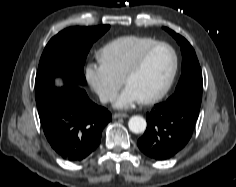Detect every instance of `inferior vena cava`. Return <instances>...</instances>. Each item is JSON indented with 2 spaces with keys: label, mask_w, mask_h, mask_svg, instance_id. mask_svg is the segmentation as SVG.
<instances>
[{
  "label": "inferior vena cava",
  "mask_w": 236,
  "mask_h": 187,
  "mask_svg": "<svg viewBox=\"0 0 236 187\" xmlns=\"http://www.w3.org/2000/svg\"><path fill=\"white\" fill-rule=\"evenodd\" d=\"M115 99H116V96L113 95V94H104V95L100 96V100L103 103H106V102H109V101L113 102V101H115Z\"/></svg>",
  "instance_id": "1"
}]
</instances>
